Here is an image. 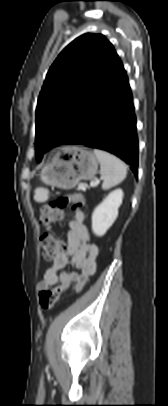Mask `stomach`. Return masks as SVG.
<instances>
[{
	"label": "stomach",
	"instance_id": "0dacf381",
	"mask_svg": "<svg viewBox=\"0 0 168 406\" xmlns=\"http://www.w3.org/2000/svg\"><path fill=\"white\" fill-rule=\"evenodd\" d=\"M98 172V160L89 150L63 147L43 167V183L62 189L74 188L81 180H92Z\"/></svg>",
	"mask_w": 168,
	"mask_h": 406
}]
</instances>
